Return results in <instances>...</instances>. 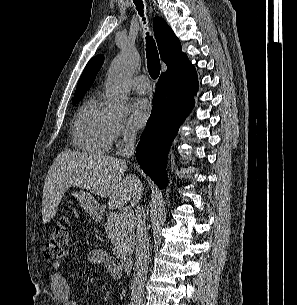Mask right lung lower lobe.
I'll list each match as a JSON object with an SVG mask.
<instances>
[{"label":"right lung lower lobe","mask_w":297,"mask_h":305,"mask_svg":"<svg viewBox=\"0 0 297 305\" xmlns=\"http://www.w3.org/2000/svg\"><path fill=\"white\" fill-rule=\"evenodd\" d=\"M197 73L189 65L174 75L161 74L153 97L151 116L136 148L144 172L163 189L168 151L176 133L192 109L197 91Z\"/></svg>","instance_id":"right-lung-lower-lobe-1"}]
</instances>
